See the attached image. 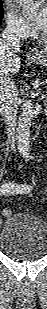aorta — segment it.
Returning <instances> with one entry per match:
<instances>
[{
    "label": "aorta",
    "instance_id": "aorta-1",
    "mask_svg": "<svg viewBox=\"0 0 47 309\" xmlns=\"http://www.w3.org/2000/svg\"><path fill=\"white\" fill-rule=\"evenodd\" d=\"M25 1V0H21ZM35 114L33 99L24 102L17 122V147L23 156H28L30 151V127Z\"/></svg>",
    "mask_w": 47,
    "mask_h": 309
}]
</instances>
